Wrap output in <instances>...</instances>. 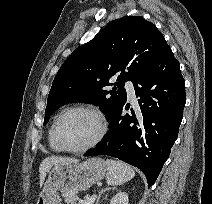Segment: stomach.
I'll use <instances>...</instances> for the list:
<instances>
[{"label": "stomach", "mask_w": 212, "mask_h": 204, "mask_svg": "<svg viewBox=\"0 0 212 204\" xmlns=\"http://www.w3.org/2000/svg\"><path fill=\"white\" fill-rule=\"evenodd\" d=\"M106 172V162L101 158L56 164L49 170L36 204H61L58 191H85L101 181Z\"/></svg>", "instance_id": "1"}]
</instances>
